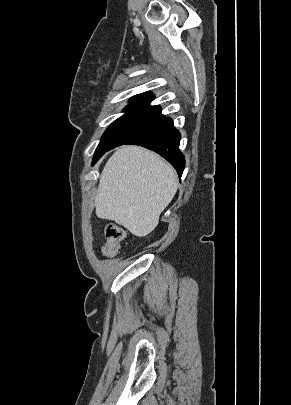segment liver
Listing matches in <instances>:
<instances>
[{"mask_svg": "<svg viewBox=\"0 0 291 405\" xmlns=\"http://www.w3.org/2000/svg\"><path fill=\"white\" fill-rule=\"evenodd\" d=\"M178 187L173 167L139 146L118 149L102 171L96 215L115 221L137 237L150 234Z\"/></svg>", "mask_w": 291, "mask_h": 405, "instance_id": "obj_1", "label": "liver"}]
</instances>
